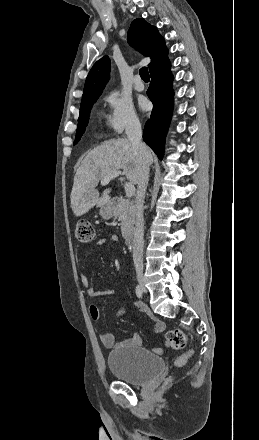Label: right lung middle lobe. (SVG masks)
I'll use <instances>...</instances> for the list:
<instances>
[{
	"label": "right lung middle lobe",
	"mask_w": 259,
	"mask_h": 440,
	"mask_svg": "<svg viewBox=\"0 0 259 440\" xmlns=\"http://www.w3.org/2000/svg\"><path fill=\"white\" fill-rule=\"evenodd\" d=\"M97 99H92L89 101H85L82 102L80 105V115L78 118V128L76 131V138L74 141V145L80 140L82 134L85 131V127L88 124V119H89V113L90 110L92 108L93 103L96 101Z\"/></svg>",
	"instance_id": "1"
}]
</instances>
